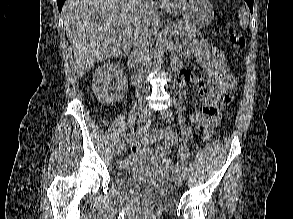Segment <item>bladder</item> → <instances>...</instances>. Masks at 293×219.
<instances>
[{
  "label": "bladder",
  "mask_w": 293,
  "mask_h": 219,
  "mask_svg": "<svg viewBox=\"0 0 293 219\" xmlns=\"http://www.w3.org/2000/svg\"><path fill=\"white\" fill-rule=\"evenodd\" d=\"M113 183L125 195L151 208H171L179 199L177 186L168 179L147 178L130 168L118 170Z\"/></svg>",
  "instance_id": "bladder-1"
}]
</instances>
